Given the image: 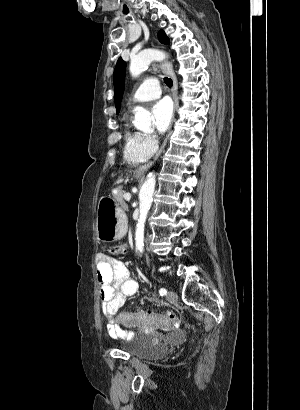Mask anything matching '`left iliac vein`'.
<instances>
[{"label":"left iliac vein","mask_w":300,"mask_h":410,"mask_svg":"<svg viewBox=\"0 0 300 410\" xmlns=\"http://www.w3.org/2000/svg\"><path fill=\"white\" fill-rule=\"evenodd\" d=\"M166 298L169 302H176L178 296L174 291H168Z\"/></svg>","instance_id":"4c4485c4"}]
</instances>
